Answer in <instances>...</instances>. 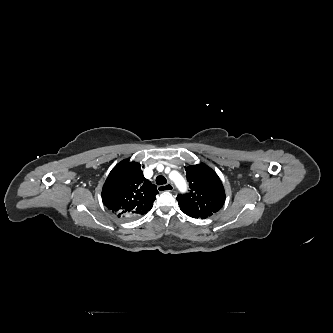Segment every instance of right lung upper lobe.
Listing matches in <instances>:
<instances>
[{
	"mask_svg": "<svg viewBox=\"0 0 333 333\" xmlns=\"http://www.w3.org/2000/svg\"><path fill=\"white\" fill-rule=\"evenodd\" d=\"M158 193L156 186L144 178L141 165L125 159L108 175L103 189L104 205L119 218L147 213Z\"/></svg>",
	"mask_w": 333,
	"mask_h": 333,
	"instance_id": "right-lung-upper-lobe-1",
	"label": "right lung upper lobe"
}]
</instances>
